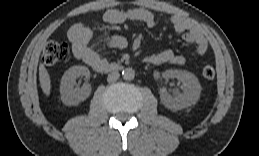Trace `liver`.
I'll return each mask as SVG.
<instances>
[{
	"instance_id": "1",
	"label": "liver",
	"mask_w": 259,
	"mask_h": 156,
	"mask_svg": "<svg viewBox=\"0 0 259 156\" xmlns=\"http://www.w3.org/2000/svg\"><path fill=\"white\" fill-rule=\"evenodd\" d=\"M39 81L43 93L49 96L51 91L50 75L42 63L39 65Z\"/></svg>"
}]
</instances>
